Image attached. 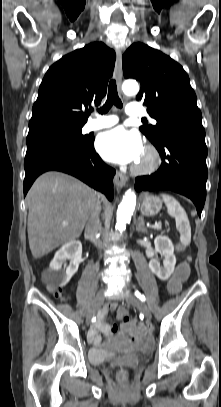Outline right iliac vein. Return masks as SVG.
I'll use <instances>...</instances> for the list:
<instances>
[{
	"instance_id": "right-iliac-vein-1",
	"label": "right iliac vein",
	"mask_w": 221,
	"mask_h": 407,
	"mask_svg": "<svg viewBox=\"0 0 221 407\" xmlns=\"http://www.w3.org/2000/svg\"><path fill=\"white\" fill-rule=\"evenodd\" d=\"M104 301V289H101L97 292L96 297L94 299L93 305L90 309V311L88 312L87 316H86V322L89 325L94 314L97 312V310L101 307V305L103 304Z\"/></svg>"
}]
</instances>
